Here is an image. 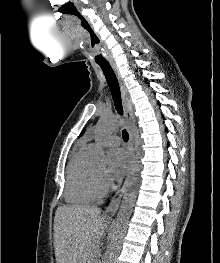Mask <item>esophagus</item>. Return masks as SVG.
Returning a JSON list of instances; mask_svg holds the SVG:
<instances>
[{
    "label": "esophagus",
    "mask_w": 220,
    "mask_h": 263,
    "mask_svg": "<svg viewBox=\"0 0 220 263\" xmlns=\"http://www.w3.org/2000/svg\"><path fill=\"white\" fill-rule=\"evenodd\" d=\"M114 72L116 74L119 86H120V90H121V96H122V103H123V110H124V114L128 123V133H129V142H128V152H129V157H130V165L127 171V175L125 178V181L122 185V187L116 192V194L114 195L109 207L106 209L105 214L108 217H113L120 205L121 199L124 195V193L127 190V187L129 185L130 182V177H131V172H132V167H133V163H134V141H133V133H132V124L135 121V116L129 101V97H128V90L126 88V85L124 83L123 78L121 77L118 69L113 66Z\"/></svg>",
    "instance_id": "obj_1"
}]
</instances>
